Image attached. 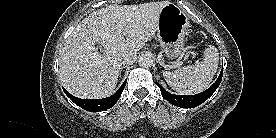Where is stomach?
I'll return each instance as SVG.
<instances>
[{
	"instance_id": "obj_1",
	"label": "stomach",
	"mask_w": 276,
	"mask_h": 138,
	"mask_svg": "<svg viewBox=\"0 0 276 138\" xmlns=\"http://www.w3.org/2000/svg\"><path fill=\"white\" fill-rule=\"evenodd\" d=\"M189 26L187 14L177 5L169 2L161 9L157 36L167 58L175 59L182 54Z\"/></svg>"
}]
</instances>
